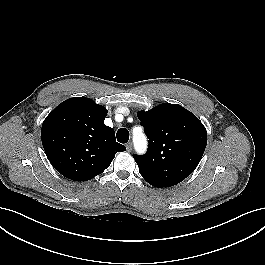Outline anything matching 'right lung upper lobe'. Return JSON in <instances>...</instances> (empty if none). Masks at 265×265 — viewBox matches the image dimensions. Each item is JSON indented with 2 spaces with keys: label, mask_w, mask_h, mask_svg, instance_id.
<instances>
[{
  "label": "right lung upper lobe",
  "mask_w": 265,
  "mask_h": 265,
  "mask_svg": "<svg viewBox=\"0 0 265 265\" xmlns=\"http://www.w3.org/2000/svg\"><path fill=\"white\" fill-rule=\"evenodd\" d=\"M107 110L85 97L59 104L44 120L42 144L53 167L64 177L87 181L107 169L126 148L104 124Z\"/></svg>",
  "instance_id": "1"
}]
</instances>
